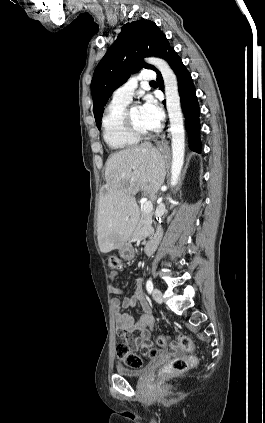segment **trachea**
Here are the masks:
<instances>
[{"label":"trachea","instance_id":"3493384b","mask_svg":"<svg viewBox=\"0 0 265 423\" xmlns=\"http://www.w3.org/2000/svg\"><path fill=\"white\" fill-rule=\"evenodd\" d=\"M150 84H156V82L155 81H151Z\"/></svg>","mask_w":265,"mask_h":423}]
</instances>
